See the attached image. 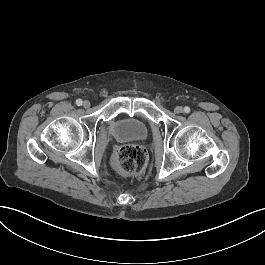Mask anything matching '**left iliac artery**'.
Wrapping results in <instances>:
<instances>
[{"label":"left iliac artery","mask_w":265,"mask_h":265,"mask_svg":"<svg viewBox=\"0 0 265 265\" xmlns=\"http://www.w3.org/2000/svg\"><path fill=\"white\" fill-rule=\"evenodd\" d=\"M184 112L185 113H189L190 112V108L188 106L184 107Z\"/></svg>","instance_id":"44dca946"}]
</instances>
